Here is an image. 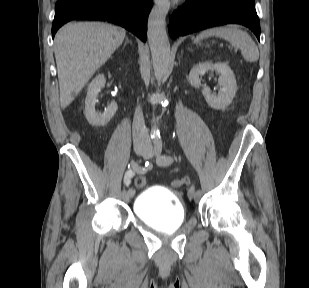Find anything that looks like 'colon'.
Masks as SVG:
<instances>
[{
    "mask_svg": "<svg viewBox=\"0 0 309 288\" xmlns=\"http://www.w3.org/2000/svg\"><path fill=\"white\" fill-rule=\"evenodd\" d=\"M146 184V179L144 177H137L135 180V185L139 188L143 187ZM173 186L180 187V186H189L191 181L189 178L183 177L175 179L172 182Z\"/></svg>",
    "mask_w": 309,
    "mask_h": 288,
    "instance_id": "5ec220e1",
    "label": "colon"
}]
</instances>
